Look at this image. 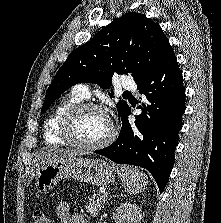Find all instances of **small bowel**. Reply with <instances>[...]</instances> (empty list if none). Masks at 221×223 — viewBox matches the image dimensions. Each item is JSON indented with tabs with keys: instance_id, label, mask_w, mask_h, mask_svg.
Listing matches in <instances>:
<instances>
[{
	"instance_id": "small-bowel-1",
	"label": "small bowel",
	"mask_w": 221,
	"mask_h": 223,
	"mask_svg": "<svg viewBox=\"0 0 221 223\" xmlns=\"http://www.w3.org/2000/svg\"><path fill=\"white\" fill-rule=\"evenodd\" d=\"M56 213L60 223H89L81 214H72L70 206L66 202H61L57 205Z\"/></svg>"
}]
</instances>
